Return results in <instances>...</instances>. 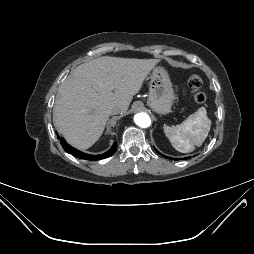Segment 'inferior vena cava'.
<instances>
[{"label":"inferior vena cava","mask_w":254,"mask_h":254,"mask_svg":"<svg viewBox=\"0 0 254 254\" xmlns=\"http://www.w3.org/2000/svg\"><path fill=\"white\" fill-rule=\"evenodd\" d=\"M119 113H121V108L120 107H114L110 111L111 115H116V114H119Z\"/></svg>","instance_id":"602c4592"}]
</instances>
